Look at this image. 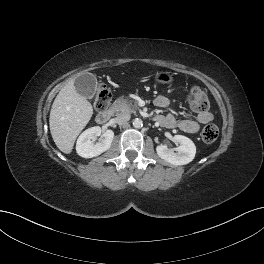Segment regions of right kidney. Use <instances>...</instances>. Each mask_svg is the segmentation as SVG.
<instances>
[{
	"label": "right kidney",
	"instance_id": "right-kidney-1",
	"mask_svg": "<svg viewBox=\"0 0 264 264\" xmlns=\"http://www.w3.org/2000/svg\"><path fill=\"white\" fill-rule=\"evenodd\" d=\"M101 135L99 126L85 130L77 139L76 151L83 158H93L107 151L114 138L112 130H106L103 133L104 139L101 142L93 144V139Z\"/></svg>",
	"mask_w": 264,
	"mask_h": 264
}]
</instances>
